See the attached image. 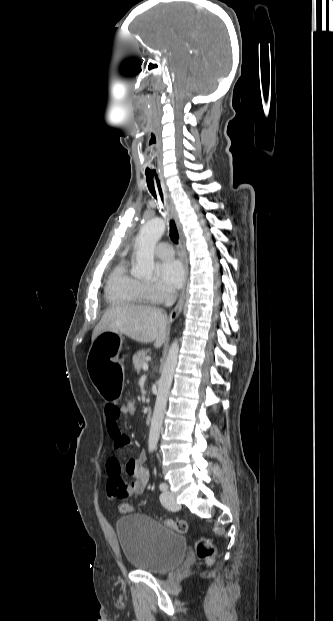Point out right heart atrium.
I'll return each mask as SVG.
<instances>
[{
    "mask_svg": "<svg viewBox=\"0 0 333 621\" xmlns=\"http://www.w3.org/2000/svg\"><path fill=\"white\" fill-rule=\"evenodd\" d=\"M143 288L149 301L159 303L168 298L170 293L156 283L143 282Z\"/></svg>",
    "mask_w": 333,
    "mask_h": 621,
    "instance_id": "d8ad5b80",
    "label": "right heart atrium"
}]
</instances>
